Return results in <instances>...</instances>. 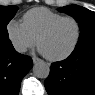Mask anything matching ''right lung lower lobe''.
Segmentation results:
<instances>
[{"label": "right lung lower lobe", "instance_id": "98d812e1", "mask_svg": "<svg viewBox=\"0 0 95 95\" xmlns=\"http://www.w3.org/2000/svg\"><path fill=\"white\" fill-rule=\"evenodd\" d=\"M32 65V59L16 52L11 41H0V95H17Z\"/></svg>", "mask_w": 95, "mask_h": 95}]
</instances>
